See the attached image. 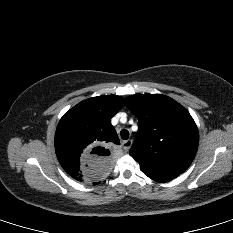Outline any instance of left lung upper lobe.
<instances>
[{"instance_id": "5c2ea615", "label": "left lung upper lobe", "mask_w": 233, "mask_h": 233, "mask_svg": "<svg viewBox=\"0 0 233 233\" xmlns=\"http://www.w3.org/2000/svg\"><path fill=\"white\" fill-rule=\"evenodd\" d=\"M139 120L129 153L140 168L155 172L183 173L198 148V129L189 112L161 94H135L125 98Z\"/></svg>"}]
</instances>
